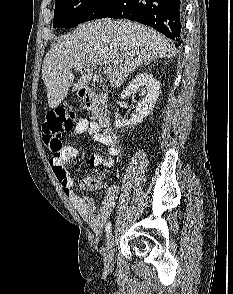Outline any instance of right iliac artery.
I'll return each instance as SVG.
<instances>
[{
    "label": "right iliac artery",
    "mask_w": 233,
    "mask_h": 294,
    "mask_svg": "<svg viewBox=\"0 0 233 294\" xmlns=\"http://www.w3.org/2000/svg\"><path fill=\"white\" fill-rule=\"evenodd\" d=\"M111 230H112L111 222L106 223L105 231H106V236L107 237H109V235L111 233Z\"/></svg>",
    "instance_id": "right-iliac-artery-1"
}]
</instances>
